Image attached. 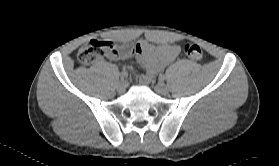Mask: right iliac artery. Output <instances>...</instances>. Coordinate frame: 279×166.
I'll return each instance as SVG.
<instances>
[{"instance_id": "right-iliac-artery-1", "label": "right iliac artery", "mask_w": 279, "mask_h": 166, "mask_svg": "<svg viewBox=\"0 0 279 166\" xmlns=\"http://www.w3.org/2000/svg\"><path fill=\"white\" fill-rule=\"evenodd\" d=\"M127 76H128L127 71H122V72L120 73V78H121V80H124L125 78H127Z\"/></svg>"}]
</instances>
